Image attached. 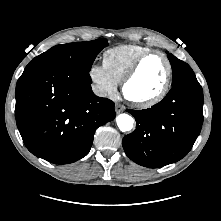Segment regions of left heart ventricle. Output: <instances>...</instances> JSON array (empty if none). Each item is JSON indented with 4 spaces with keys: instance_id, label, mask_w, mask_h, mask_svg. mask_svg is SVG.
Listing matches in <instances>:
<instances>
[{
    "instance_id": "obj_1",
    "label": "left heart ventricle",
    "mask_w": 221,
    "mask_h": 221,
    "mask_svg": "<svg viewBox=\"0 0 221 221\" xmlns=\"http://www.w3.org/2000/svg\"><path fill=\"white\" fill-rule=\"evenodd\" d=\"M166 72V63L160 55L149 56L129 83L128 94L136 99H146L155 95L164 84Z\"/></svg>"
}]
</instances>
